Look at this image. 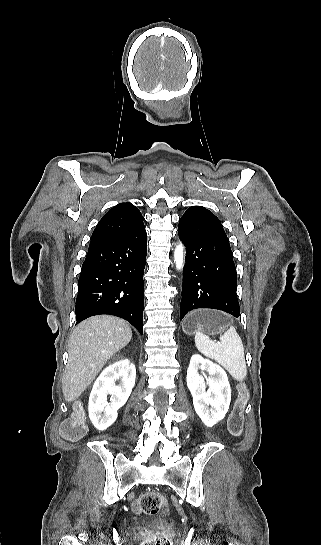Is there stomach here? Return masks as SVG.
I'll return each mask as SVG.
<instances>
[{
  "label": "stomach",
  "instance_id": "0dacf381",
  "mask_svg": "<svg viewBox=\"0 0 321 545\" xmlns=\"http://www.w3.org/2000/svg\"><path fill=\"white\" fill-rule=\"evenodd\" d=\"M228 327L227 317L219 311L199 309L185 317L182 329L186 335H194L196 331H204L207 335H218Z\"/></svg>",
  "mask_w": 321,
  "mask_h": 545
}]
</instances>
